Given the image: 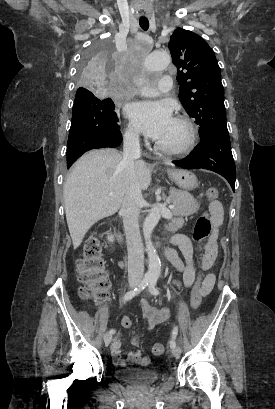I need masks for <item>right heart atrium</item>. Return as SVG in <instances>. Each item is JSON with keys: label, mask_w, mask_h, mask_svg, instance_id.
<instances>
[{"label": "right heart atrium", "mask_w": 275, "mask_h": 409, "mask_svg": "<svg viewBox=\"0 0 275 409\" xmlns=\"http://www.w3.org/2000/svg\"><path fill=\"white\" fill-rule=\"evenodd\" d=\"M141 131L137 123L129 120L124 128V138L129 143H136L140 140Z\"/></svg>", "instance_id": "d8ad5b80"}]
</instances>
